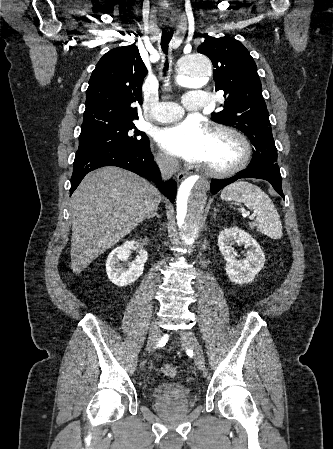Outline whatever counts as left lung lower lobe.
<instances>
[{"mask_svg":"<svg viewBox=\"0 0 333 449\" xmlns=\"http://www.w3.org/2000/svg\"><path fill=\"white\" fill-rule=\"evenodd\" d=\"M240 178H258L267 180L272 184L274 189L283 198H285L281 188L282 178L279 168H255L248 166L247 169L243 170L242 172L238 173L237 175L231 178L224 180H212L210 191L212 194H216L220 189Z\"/></svg>","mask_w":333,"mask_h":449,"instance_id":"obj_1","label":"left lung lower lobe"}]
</instances>
